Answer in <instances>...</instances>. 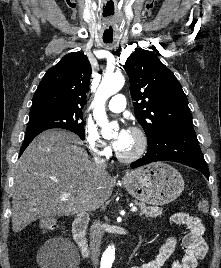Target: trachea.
<instances>
[{"mask_svg": "<svg viewBox=\"0 0 221 268\" xmlns=\"http://www.w3.org/2000/svg\"><path fill=\"white\" fill-rule=\"evenodd\" d=\"M105 43H111L112 39H108V40H103Z\"/></svg>", "mask_w": 221, "mask_h": 268, "instance_id": "obj_1", "label": "trachea"}]
</instances>
